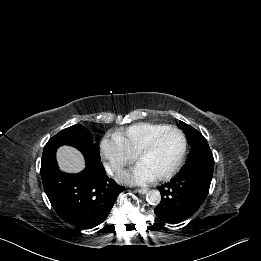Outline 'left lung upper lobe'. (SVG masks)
Instances as JSON below:
<instances>
[{
  "instance_id": "5c2ea615",
  "label": "left lung upper lobe",
  "mask_w": 261,
  "mask_h": 261,
  "mask_svg": "<svg viewBox=\"0 0 261 261\" xmlns=\"http://www.w3.org/2000/svg\"><path fill=\"white\" fill-rule=\"evenodd\" d=\"M180 127L186 134L187 141L189 145L191 146V151L189 152L188 157L191 155V153L197 149L198 147L207 144L206 139L202 136V134L191 127L190 125H187L186 123L180 121Z\"/></svg>"
}]
</instances>
